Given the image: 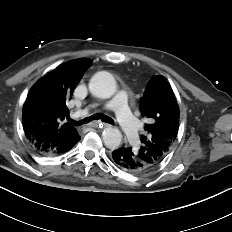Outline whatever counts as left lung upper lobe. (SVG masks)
Wrapping results in <instances>:
<instances>
[{"label":"left lung upper lobe","instance_id":"left-lung-upper-lobe-1","mask_svg":"<svg viewBox=\"0 0 232 232\" xmlns=\"http://www.w3.org/2000/svg\"><path fill=\"white\" fill-rule=\"evenodd\" d=\"M142 117L148 119L141 146L136 155L151 168L158 165L169 152L179 129V106L168 81L154 76L141 99Z\"/></svg>","mask_w":232,"mask_h":232}]
</instances>
